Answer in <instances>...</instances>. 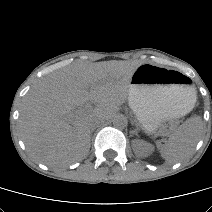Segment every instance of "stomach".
Segmentation results:
<instances>
[{
  "mask_svg": "<svg viewBox=\"0 0 212 212\" xmlns=\"http://www.w3.org/2000/svg\"><path fill=\"white\" fill-rule=\"evenodd\" d=\"M189 83L179 72L140 64L132 75L128 96L139 126L151 134L162 122L187 114L196 101V90Z\"/></svg>",
  "mask_w": 212,
  "mask_h": 212,
  "instance_id": "stomach-1",
  "label": "stomach"
}]
</instances>
